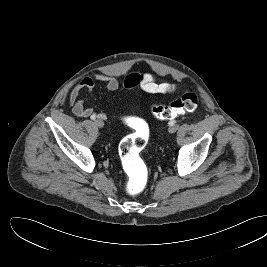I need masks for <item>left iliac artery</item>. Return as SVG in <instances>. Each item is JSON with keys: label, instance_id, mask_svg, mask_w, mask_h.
<instances>
[{"label": "left iliac artery", "instance_id": "1", "mask_svg": "<svg viewBox=\"0 0 267 267\" xmlns=\"http://www.w3.org/2000/svg\"><path fill=\"white\" fill-rule=\"evenodd\" d=\"M176 123V120H172L169 122V126L174 125Z\"/></svg>", "mask_w": 267, "mask_h": 267}]
</instances>
